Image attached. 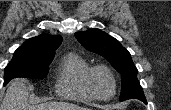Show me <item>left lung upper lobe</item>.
<instances>
[{
    "instance_id": "obj_1",
    "label": "left lung upper lobe",
    "mask_w": 171,
    "mask_h": 110,
    "mask_svg": "<svg viewBox=\"0 0 171 110\" xmlns=\"http://www.w3.org/2000/svg\"><path fill=\"white\" fill-rule=\"evenodd\" d=\"M75 37L87 50L105 57L121 73L120 101L136 98L146 102L143 89L137 79V68L130 53L118 40L99 29L77 32Z\"/></svg>"
}]
</instances>
